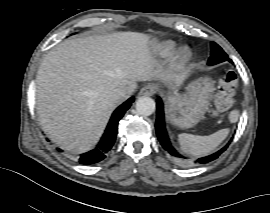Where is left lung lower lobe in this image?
<instances>
[{
    "instance_id": "1",
    "label": "left lung lower lobe",
    "mask_w": 270,
    "mask_h": 213,
    "mask_svg": "<svg viewBox=\"0 0 270 213\" xmlns=\"http://www.w3.org/2000/svg\"><path fill=\"white\" fill-rule=\"evenodd\" d=\"M156 134L158 136V139L162 145V147L170 154V156L172 157V159L183 166H187V165H191V164H205L208 162H211L213 160H215L216 158H218L228 147L229 143L224 146L222 149H220L219 151L206 156V157H202L199 159H196L194 161L189 160L188 158L182 156L181 154H179L175 148L172 146L166 129H165V125H164V112H163V104L161 99L159 98L157 101V119H156Z\"/></svg>"
}]
</instances>
